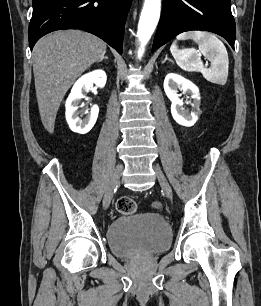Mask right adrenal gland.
<instances>
[{"instance_id": "2a0ac1e0", "label": "right adrenal gland", "mask_w": 261, "mask_h": 306, "mask_svg": "<svg viewBox=\"0 0 261 306\" xmlns=\"http://www.w3.org/2000/svg\"><path fill=\"white\" fill-rule=\"evenodd\" d=\"M104 59L108 60V57L107 56L102 57L100 60L97 61V63L102 62Z\"/></svg>"}]
</instances>
